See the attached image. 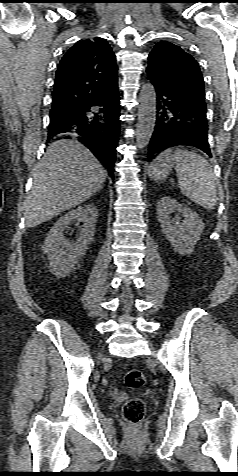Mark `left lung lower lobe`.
<instances>
[{"instance_id":"1","label":"left lung lower lobe","mask_w":238,"mask_h":476,"mask_svg":"<svg viewBox=\"0 0 238 476\" xmlns=\"http://www.w3.org/2000/svg\"><path fill=\"white\" fill-rule=\"evenodd\" d=\"M156 93V122L148 158L172 147H194L212 156L207 131L206 105L177 96L148 76Z\"/></svg>"}]
</instances>
